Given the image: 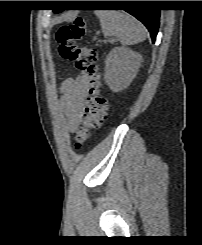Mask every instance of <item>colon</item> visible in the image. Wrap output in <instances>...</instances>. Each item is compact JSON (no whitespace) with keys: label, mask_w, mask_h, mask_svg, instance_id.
<instances>
[{"label":"colon","mask_w":202,"mask_h":245,"mask_svg":"<svg viewBox=\"0 0 202 245\" xmlns=\"http://www.w3.org/2000/svg\"><path fill=\"white\" fill-rule=\"evenodd\" d=\"M87 23L82 17H76L57 32V42L61 56L74 64L79 70H85L91 79V88L80 123L76 129L74 149L80 151L93 136L107 117L108 100L102 92V79L98 53L91 46H79L78 41L86 34Z\"/></svg>","instance_id":"1"}]
</instances>
